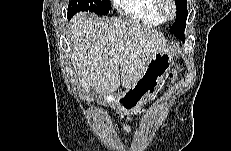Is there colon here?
I'll list each match as a JSON object with an SVG mask.
<instances>
[{"mask_svg": "<svg viewBox=\"0 0 231 151\" xmlns=\"http://www.w3.org/2000/svg\"><path fill=\"white\" fill-rule=\"evenodd\" d=\"M176 75H177L176 72H172V73H171V76H170V77H171V80H172V81H175V80H176Z\"/></svg>", "mask_w": 231, "mask_h": 151, "instance_id": "1", "label": "colon"}]
</instances>
